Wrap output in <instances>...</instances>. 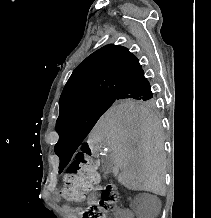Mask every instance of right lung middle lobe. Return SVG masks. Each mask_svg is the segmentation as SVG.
<instances>
[{
	"instance_id": "dd1d6c3e",
	"label": "right lung middle lobe",
	"mask_w": 211,
	"mask_h": 218,
	"mask_svg": "<svg viewBox=\"0 0 211 218\" xmlns=\"http://www.w3.org/2000/svg\"><path fill=\"white\" fill-rule=\"evenodd\" d=\"M156 105L154 97H118L114 95L86 100L59 114L56 122V131L59 134L58 143L79 146L97 120L109 108L154 110Z\"/></svg>"
}]
</instances>
